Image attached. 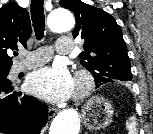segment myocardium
<instances>
[{
  "instance_id": "obj_1",
  "label": "myocardium",
  "mask_w": 153,
  "mask_h": 134,
  "mask_svg": "<svg viewBox=\"0 0 153 134\" xmlns=\"http://www.w3.org/2000/svg\"><path fill=\"white\" fill-rule=\"evenodd\" d=\"M95 86V78L86 68L78 69L75 73L74 99L80 100L88 96Z\"/></svg>"
}]
</instances>
